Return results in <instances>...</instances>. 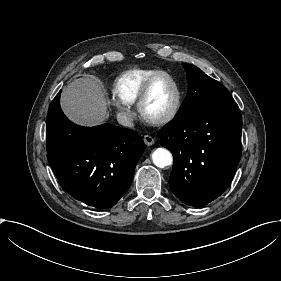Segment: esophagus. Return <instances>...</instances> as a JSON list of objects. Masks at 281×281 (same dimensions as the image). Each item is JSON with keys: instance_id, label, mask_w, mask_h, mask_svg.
I'll use <instances>...</instances> for the list:
<instances>
[{"instance_id": "obj_1", "label": "esophagus", "mask_w": 281, "mask_h": 281, "mask_svg": "<svg viewBox=\"0 0 281 281\" xmlns=\"http://www.w3.org/2000/svg\"><path fill=\"white\" fill-rule=\"evenodd\" d=\"M143 140L147 146H152L154 144V139L150 135H145Z\"/></svg>"}]
</instances>
